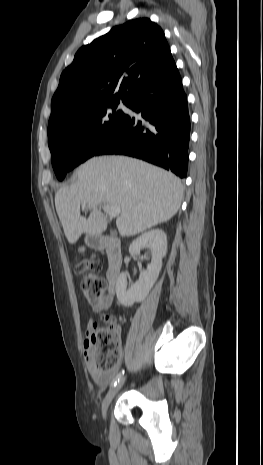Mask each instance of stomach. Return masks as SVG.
I'll return each instance as SVG.
<instances>
[{"mask_svg": "<svg viewBox=\"0 0 263 465\" xmlns=\"http://www.w3.org/2000/svg\"><path fill=\"white\" fill-rule=\"evenodd\" d=\"M85 243L90 247H94L96 245L95 236L91 234L86 235Z\"/></svg>", "mask_w": 263, "mask_h": 465, "instance_id": "0dacf381", "label": "stomach"}]
</instances>
